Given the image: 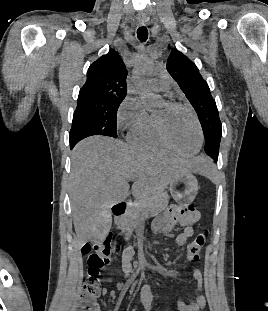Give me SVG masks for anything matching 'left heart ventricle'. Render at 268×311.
<instances>
[{"label": "left heart ventricle", "instance_id": "1", "mask_svg": "<svg viewBox=\"0 0 268 311\" xmlns=\"http://www.w3.org/2000/svg\"><path fill=\"white\" fill-rule=\"evenodd\" d=\"M157 113L163 115L166 134L172 144L182 152H194L199 143V134L191 115L182 109H168L166 104Z\"/></svg>", "mask_w": 268, "mask_h": 311}]
</instances>
